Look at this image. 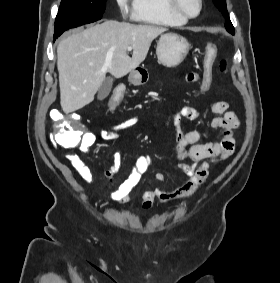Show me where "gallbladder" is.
I'll list each match as a JSON object with an SVG mask.
<instances>
[{
    "label": "gallbladder",
    "instance_id": "bac80fb5",
    "mask_svg": "<svg viewBox=\"0 0 280 283\" xmlns=\"http://www.w3.org/2000/svg\"><path fill=\"white\" fill-rule=\"evenodd\" d=\"M112 84H113L112 77L109 76L104 79V81L102 82L101 86L98 89L97 98L99 100H103L109 95L112 89Z\"/></svg>",
    "mask_w": 280,
    "mask_h": 283
}]
</instances>
